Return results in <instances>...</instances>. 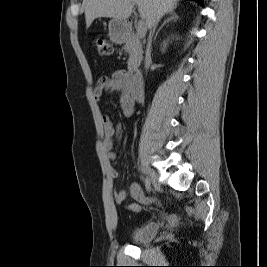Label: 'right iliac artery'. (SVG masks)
I'll use <instances>...</instances> for the list:
<instances>
[{
	"mask_svg": "<svg viewBox=\"0 0 267 267\" xmlns=\"http://www.w3.org/2000/svg\"><path fill=\"white\" fill-rule=\"evenodd\" d=\"M144 182H145L146 190H147L148 192H150V191H151V182H150L149 178L146 177Z\"/></svg>",
	"mask_w": 267,
	"mask_h": 267,
	"instance_id": "right-iliac-artery-1",
	"label": "right iliac artery"
}]
</instances>
